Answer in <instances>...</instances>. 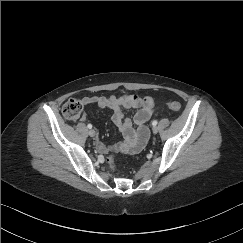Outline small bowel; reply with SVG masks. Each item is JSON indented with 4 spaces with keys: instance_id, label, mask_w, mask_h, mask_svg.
<instances>
[{
    "instance_id": "obj_1",
    "label": "small bowel",
    "mask_w": 243,
    "mask_h": 243,
    "mask_svg": "<svg viewBox=\"0 0 243 243\" xmlns=\"http://www.w3.org/2000/svg\"><path fill=\"white\" fill-rule=\"evenodd\" d=\"M82 103L84 105L95 104L100 108H109L113 111L112 120L118 127L123 139L113 145H106L97 140L96 147L101 153H136L144 147L147 141L145 124L157 110L152 97H142L134 94L87 96L82 98ZM132 109H137L133 121L125 115L126 111ZM88 118L89 115L86 112L81 116L82 121H86ZM133 122L137 129H134Z\"/></svg>"
}]
</instances>
